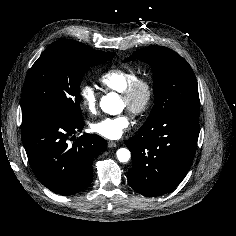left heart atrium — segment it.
Wrapping results in <instances>:
<instances>
[{"label": "left heart atrium", "mask_w": 236, "mask_h": 236, "mask_svg": "<svg viewBox=\"0 0 236 236\" xmlns=\"http://www.w3.org/2000/svg\"><path fill=\"white\" fill-rule=\"evenodd\" d=\"M131 119L128 114H120L114 117H106L97 120L91 124V128L97 134L107 138L116 140L130 127Z\"/></svg>", "instance_id": "39dd6f15"}]
</instances>
